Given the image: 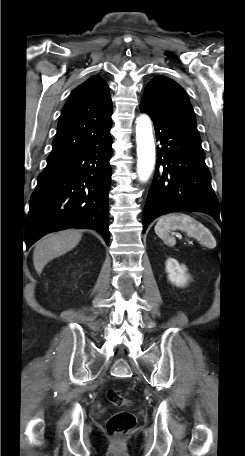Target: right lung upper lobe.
Segmentation results:
<instances>
[{
  "label": "right lung upper lobe",
  "instance_id": "obj_1",
  "mask_svg": "<svg viewBox=\"0 0 245 456\" xmlns=\"http://www.w3.org/2000/svg\"><path fill=\"white\" fill-rule=\"evenodd\" d=\"M112 101L106 82L93 76L79 85L63 107L47 163L91 146L112 126Z\"/></svg>",
  "mask_w": 245,
  "mask_h": 456
}]
</instances>
